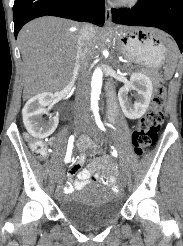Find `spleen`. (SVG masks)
Here are the masks:
<instances>
[{"label":"spleen","instance_id":"spleen-1","mask_svg":"<svg viewBox=\"0 0 183 246\" xmlns=\"http://www.w3.org/2000/svg\"><path fill=\"white\" fill-rule=\"evenodd\" d=\"M167 45H168V53H169V64L165 69V78L170 79L175 70L177 56H178V49L174 44V42L170 40L167 41Z\"/></svg>","mask_w":183,"mask_h":246}]
</instances>
